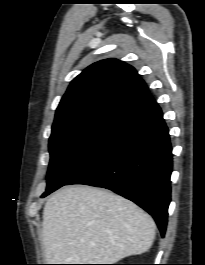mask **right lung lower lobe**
I'll return each mask as SVG.
<instances>
[{"mask_svg":"<svg viewBox=\"0 0 205 265\" xmlns=\"http://www.w3.org/2000/svg\"><path fill=\"white\" fill-rule=\"evenodd\" d=\"M172 147L158 104L127 123L112 141L65 185L110 189L155 219L164 236L170 203Z\"/></svg>","mask_w":205,"mask_h":265,"instance_id":"right-lung-lower-lobe-1","label":"right lung lower lobe"}]
</instances>
